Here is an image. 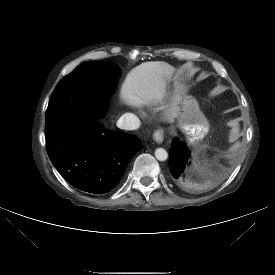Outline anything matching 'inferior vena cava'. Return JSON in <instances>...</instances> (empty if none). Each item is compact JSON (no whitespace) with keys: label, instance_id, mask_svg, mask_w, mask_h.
Here are the masks:
<instances>
[{"label":"inferior vena cava","instance_id":"inferior-vena-cava-1","mask_svg":"<svg viewBox=\"0 0 275 275\" xmlns=\"http://www.w3.org/2000/svg\"><path fill=\"white\" fill-rule=\"evenodd\" d=\"M117 126L124 130H136L140 126V120L132 113H125L117 121Z\"/></svg>","mask_w":275,"mask_h":275}]
</instances>
